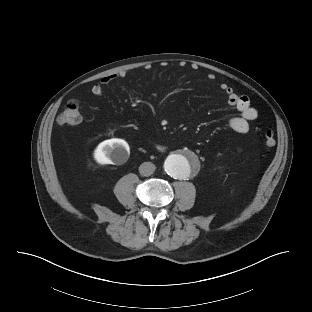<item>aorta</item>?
<instances>
[{
	"label": "aorta",
	"mask_w": 312,
	"mask_h": 312,
	"mask_svg": "<svg viewBox=\"0 0 312 312\" xmlns=\"http://www.w3.org/2000/svg\"><path fill=\"white\" fill-rule=\"evenodd\" d=\"M196 162L193 155H170L164 162V169L168 175L175 179H183L188 176L190 167Z\"/></svg>",
	"instance_id": "1"
}]
</instances>
